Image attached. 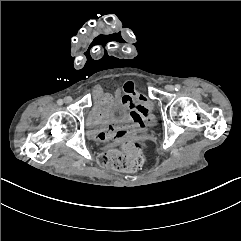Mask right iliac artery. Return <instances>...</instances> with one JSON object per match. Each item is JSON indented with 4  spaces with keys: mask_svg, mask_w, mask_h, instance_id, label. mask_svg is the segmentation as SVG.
<instances>
[{
    "mask_svg": "<svg viewBox=\"0 0 241 241\" xmlns=\"http://www.w3.org/2000/svg\"><path fill=\"white\" fill-rule=\"evenodd\" d=\"M57 104H58V105H62V104H63V100H62V99H59V100L57 101Z\"/></svg>",
    "mask_w": 241,
    "mask_h": 241,
    "instance_id": "right-iliac-artery-1",
    "label": "right iliac artery"
}]
</instances>
